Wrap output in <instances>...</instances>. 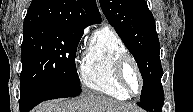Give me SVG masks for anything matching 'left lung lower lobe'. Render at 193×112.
Instances as JSON below:
<instances>
[{
    "label": "left lung lower lobe",
    "mask_w": 193,
    "mask_h": 112,
    "mask_svg": "<svg viewBox=\"0 0 193 112\" xmlns=\"http://www.w3.org/2000/svg\"><path fill=\"white\" fill-rule=\"evenodd\" d=\"M164 102V91L161 85V81L158 83V86L150 98L139 101L138 106L145 109L148 112H161Z\"/></svg>",
    "instance_id": "1"
}]
</instances>
